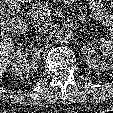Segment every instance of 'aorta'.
I'll use <instances>...</instances> for the list:
<instances>
[{"label":"aorta","mask_w":113,"mask_h":113,"mask_svg":"<svg viewBox=\"0 0 113 113\" xmlns=\"http://www.w3.org/2000/svg\"><path fill=\"white\" fill-rule=\"evenodd\" d=\"M73 31L69 28H60L56 33V39L60 43H68L72 40Z\"/></svg>","instance_id":"1"}]
</instances>
